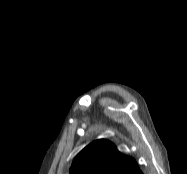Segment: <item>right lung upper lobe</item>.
I'll return each mask as SVG.
<instances>
[{"label":"right lung upper lobe","instance_id":"obj_1","mask_svg":"<svg viewBox=\"0 0 187 174\" xmlns=\"http://www.w3.org/2000/svg\"><path fill=\"white\" fill-rule=\"evenodd\" d=\"M70 174H142L135 160L118 152L110 141L96 140L74 159Z\"/></svg>","mask_w":187,"mask_h":174}]
</instances>
